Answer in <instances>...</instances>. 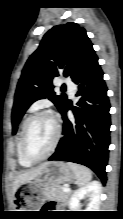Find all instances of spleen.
<instances>
[{
  "label": "spleen",
  "mask_w": 123,
  "mask_h": 219,
  "mask_svg": "<svg viewBox=\"0 0 123 219\" xmlns=\"http://www.w3.org/2000/svg\"><path fill=\"white\" fill-rule=\"evenodd\" d=\"M68 166L73 171L79 186H84L92 179L91 171L85 166L70 162L68 163Z\"/></svg>",
  "instance_id": "spleen-1"
}]
</instances>
